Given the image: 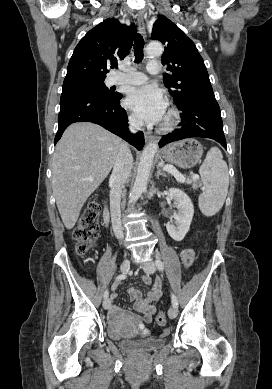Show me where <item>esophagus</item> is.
Masks as SVG:
<instances>
[{
	"mask_svg": "<svg viewBox=\"0 0 272 389\" xmlns=\"http://www.w3.org/2000/svg\"><path fill=\"white\" fill-rule=\"evenodd\" d=\"M145 14L144 11H139L137 14V23H138V30L143 35L146 36V30H145ZM153 135L150 132H145V140L146 142H150L153 140Z\"/></svg>",
	"mask_w": 272,
	"mask_h": 389,
	"instance_id": "esophagus-1",
	"label": "esophagus"
}]
</instances>
